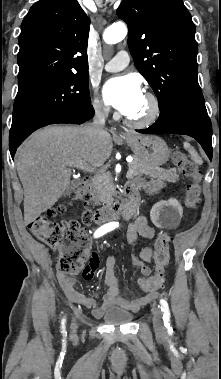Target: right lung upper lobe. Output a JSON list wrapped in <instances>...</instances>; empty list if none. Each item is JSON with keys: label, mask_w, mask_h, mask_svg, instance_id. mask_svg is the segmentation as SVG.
Listing matches in <instances>:
<instances>
[{"label": "right lung upper lobe", "mask_w": 221, "mask_h": 379, "mask_svg": "<svg viewBox=\"0 0 221 379\" xmlns=\"http://www.w3.org/2000/svg\"><path fill=\"white\" fill-rule=\"evenodd\" d=\"M89 18L77 0H40L21 24L18 83L87 73Z\"/></svg>", "instance_id": "1"}]
</instances>
